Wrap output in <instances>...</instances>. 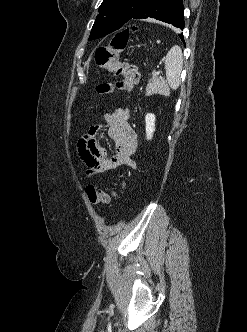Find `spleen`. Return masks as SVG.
Masks as SVG:
<instances>
[{"label": "spleen", "mask_w": 247, "mask_h": 332, "mask_svg": "<svg viewBox=\"0 0 247 332\" xmlns=\"http://www.w3.org/2000/svg\"><path fill=\"white\" fill-rule=\"evenodd\" d=\"M183 67V56L181 48L177 45L173 46L165 56V69L167 84L164 88L159 89V93L168 95L169 87L176 90L181 82L180 75Z\"/></svg>", "instance_id": "1"}]
</instances>
